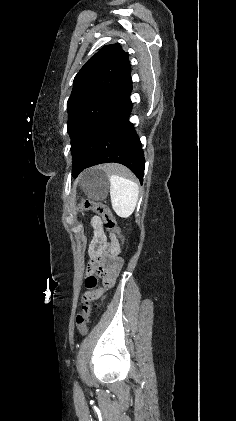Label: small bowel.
Instances as JSON below:
<instances>
[{"mask_svg": "<svg viewBox=\"0 0 236 421\" xmlns=\"http://www.w3.org/2000/svg\"><path fill=\"white\" fill-rule=\"evenodd\" d=\"M91 225L94 229V241L89 250L90 258H97L109 250L116 251L117 242L115 237L110 234L111 243L107 244L106 232L104 230L103 223L98 216H94L91 219Z\"/></svg>", "mask_w": 236, "mask_h": 421, "instance_id": "small-bowel-1", "label": "small bowel"}]
</instances>
